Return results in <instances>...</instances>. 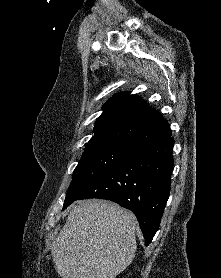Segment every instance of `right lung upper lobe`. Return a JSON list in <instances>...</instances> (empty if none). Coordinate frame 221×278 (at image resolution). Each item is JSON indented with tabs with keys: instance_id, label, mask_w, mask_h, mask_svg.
<instances>
[{
	"instance_id": "cb5924a9",
	"label": "right lung upper lobe",
	"mask_w": 221,
	"mask_h": 278,
	"mask_svg": "<svg viewBox=\"0 0 221 278\" xmlns=\"http://www.w3.org/2000/svg\"><path fill=\"white\" fill-rule=\"evenodd\" d=\"M103 110L89 143L114 140L138 146L171 136L167 121L140 97L127 92L113 95Z\"/></svg>"
}]
</instances>
